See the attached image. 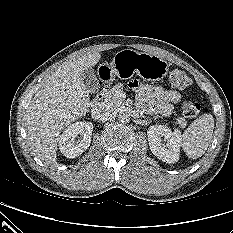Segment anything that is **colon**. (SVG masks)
Returning <instances> with one entry per match:
<instances>
[{
	"label": "colon",
	"instance_id": "colon-1",
	"mask_svg": "<svg viewBox=\"0 0 233 233\" xmlns=\"http://www.w3.org/2000/svg\"><path fill=\"white\" fill-rule=\"evenodd\" d=\"M170 86L176 89L184 90L192 85V79L184 71L174 69L169 75ZM182 114L186 118L196 117L201 110L200 104L193 100H186L182 103Z\"/></svg>",
	"mask_w": 233,
	"mask_h": 233
}]
</instances>
